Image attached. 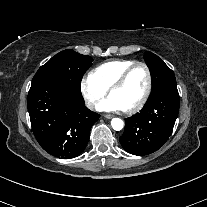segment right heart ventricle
<instances>
[{
  "instance_id": "obj_1",
  "label": "right heart ventricle",
  "mask_w": 207,
  "mask_h": 207,
  "mask_svg": "<svg viewBox=\"0 0 207 207\" xmlns=\"http://www.w3.org/2000/svg\"><path fill=\"white\" fill-rule=\"evenodd\" d=\"M133 63V60H108L95 67L91 71L90 76L100 86L108 90L114 81Z\"/></svg>"
}]
</instances>
